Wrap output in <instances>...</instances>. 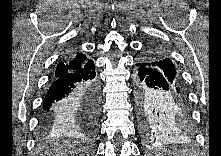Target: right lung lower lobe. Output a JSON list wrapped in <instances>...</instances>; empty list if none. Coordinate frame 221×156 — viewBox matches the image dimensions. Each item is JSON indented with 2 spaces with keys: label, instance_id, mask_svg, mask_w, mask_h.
Segmentation results:
<instances>
[{
  "label": "right lung lower lobe",
  "instance_id": "right-lung-lower-lobe-1",
  "mask_svg": "<svg viewBox=\"0 0 221 156\" xmlns=\"http://www.w3.org/2000/svg\"><path fill=\"white\" fill-rule=\"evenodd\" d=\"M99 112V86L92 60L53 77L39 118L41 133L93 128Z\"/></svg>",
  "mask_w": 221,
  "mask_h": 156
}]
</instances>
